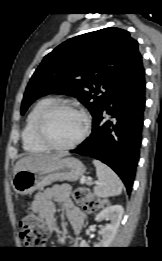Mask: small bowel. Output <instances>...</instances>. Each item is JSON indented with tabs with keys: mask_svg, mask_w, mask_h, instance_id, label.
<instances>
[{
	"mask_svg": "<svg viewBox=\"0 0 162 261\" xmlns=\"http://www.w3.org/2000/svg\"><path fill=\"white\" fill-rule=\"evenodd\" d=\"M70 190V186L67 184L54 185L38 192L34 197L31 210L45 221L51 231L55 227L56 204H61L65 208L74 232H79L83 225V215L74 206Z\"/></svg>",
	"mask_w": 162,
	"mask_h": 261,
	"instance_id": "small-bowel-1",
	"label": "small bowel"
}]
</instances>
